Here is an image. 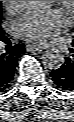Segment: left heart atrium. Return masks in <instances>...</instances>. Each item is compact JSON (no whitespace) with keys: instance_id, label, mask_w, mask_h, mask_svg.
Returning <instances> with one entry per match:
<instances>
[{"instance_id":"1","label":"left heart atrium","mask_w":74,"mask_h":122,"mask_svg":"<svg viewBox=\"0 0 74 122\" xmlns=\"http://www.w3.org/2000/svg\"><path fill=\"white\" fill-rule=\"evenodd\" d=\"M68 18L57 10H35L24 14L16 23L18 33L26 40L45 43L59 35Z\"/></svg>"}]
</instances>
